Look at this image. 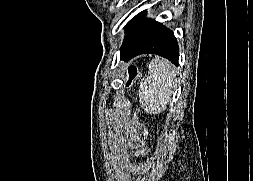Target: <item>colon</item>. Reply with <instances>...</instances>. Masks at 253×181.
<instances>
[{"label":"colon","instance_id":"colon-1","mask_svg":"<svg viewBox=\"0 0 253 181\" xmlns=\"http://www.w3.org/2000/svg\"><path fill=\"white\" fill-rule=\"evenodd\" d=\"M128 72H129V81L131 82L138 75L137 67L134 65H131L128 68Z\"/></svg>","mask_w":253,"mask_h":181}]
</instances>
